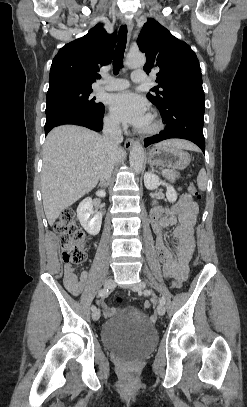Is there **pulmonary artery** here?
<instances>
[{
	"label": "pulmonary artery",
	"mask_w": 247,
	"mask_h": 407,
	"mask_svg": "<svg viewBox=\"0 0 247 407\" xmlns=\"http://www.w3.org/2000/svg\"><path fill=\"white\" fill-rule=\"evenodd\" d=\"M134 83H144L147 81L146 73L142 70H135L131 77ZM129 87V81L126 79L114 78L103 83L102 88L106 90H122Z\"/></svg>",
	"instance_id": "pulmonary-artery-1"
}]
</instances>
